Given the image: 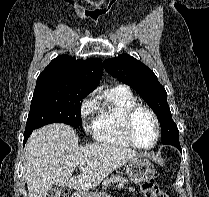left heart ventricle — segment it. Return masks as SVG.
I'll use <instances>...</instances> for the list:
<instances>
[{"instance_id": "1", "label": "left heart ventricle", "mask_w": 209, "mask_h": 197, "mask_svg": "<svg viewBox=\"0 0 209 197\" xmlns=\"http://www.w3.org/2000/svg\"><path fill=\"white\" fill-rule=\"evenodd\" d=\"M133 135L138 144L151 145L155 138V124L149 113L139 111L133 121Z\"/></svg>"}]
</instances>
